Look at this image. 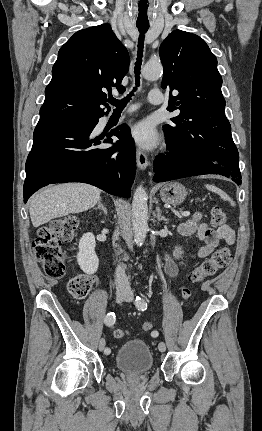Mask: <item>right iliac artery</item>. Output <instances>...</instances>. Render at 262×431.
<instances>
[{
	"mask_svg": "<svg viewBox=\"0 0 262 431\" xmlns=\"http://www.w3.org/2000/svg\"><path fill=\"white\" fill-rule=\"evenodd\" d=\"M115 321H116V316L114 312H109L104 318L105 325L109 327L113 326L115 324ZM105 353L109 354L110 349L109 348L105 349Z\"/></svg>",
	"mask_w": 262,
	"mask_h": 431,
	"instance_id": "obj_1",
	"label": "right iliac artery"
}]
</instances>
